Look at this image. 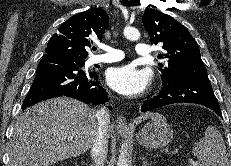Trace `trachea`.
Here are the masks:
<instances>
[{
    "mask_svg": "<svg viewBox=\"0 0 231 166\" xmlns=\"http://www.w3.org/2000/svg\"><path fill=\"white\" fill-rule=\"evenodd\" d=\"M123 2H124V3H126V2H127V0H123ZM93 50H96V48H93Z\"/></svg>",
    "mask_w": 231,
    "mask_h": 166,
    "instance_id": "3493384b",
    "label": "trachea"
}]
</instances>
